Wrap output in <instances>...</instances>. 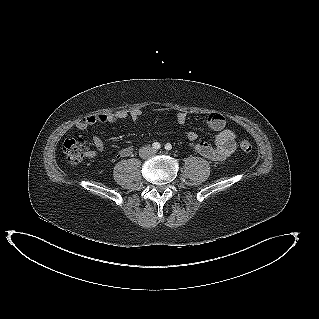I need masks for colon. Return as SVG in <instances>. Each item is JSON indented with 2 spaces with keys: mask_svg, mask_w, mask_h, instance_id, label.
I'll list each match as a JSON object with an SVG mask.
<instances>
[{
  "mask_svg": "<svg viewBox=\"0 0 319 319\" xmlns=\"http://www.w3.org/2000/svg\"><path fill=\"white\" fill-rule=\"evenodd\" d=\"M239 147L245 152H249L252 149V145L247 139H240ZM63 152L69 163L79 164L89 156L90 150L88 142L85 139L72 137L64 141Z\"/></svg>",
  "mask_w": 319,
  "mask_h": 319,
  "instance_id": "1",
  "label": "colon"
}]
</instances>
